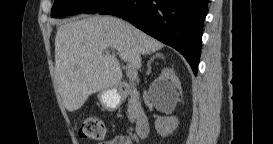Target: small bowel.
<instances>
[{
    "instance_id": "obj_1",
    "label": "small bowel",
    "mask_w": 273,
    "mask_h": 144,
    "mask_svg": "<svg viewBox=\"0 0 273 144\" xmlns=\"http://www.w3.org/2000/svg\"><path fill=\"white\" fill-rule=\"evenodd\" d=\"M106 143H108V144H132V139L128 135H118V136L111 138Z\"/></svg>"
}]
</instances>
